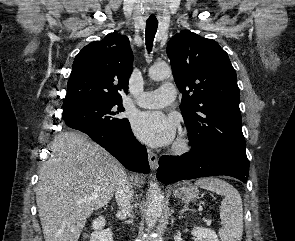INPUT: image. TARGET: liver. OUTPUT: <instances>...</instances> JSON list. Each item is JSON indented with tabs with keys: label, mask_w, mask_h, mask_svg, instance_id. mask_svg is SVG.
I'll return each instance as SVG.
<instances>
[{
	"label": "liver",
	"mask_w": 295,
	"mask_h": 241,
	"mask_svg": "<svg viewBox=\"0 0 295 241\" xmlns=\"http://www.w3.org/2000/svg\"><path fill=\"white\" fill-rule=\"evenodd\" d=\"M39 172L36 201L45 241H78L87 218L113 197L120 163L78 132L55 137ZM138 183V177H135ZM95 187H99L98 189Z\"/></svg>",
	"instance_id": "obj_1"
}]
</instances>
